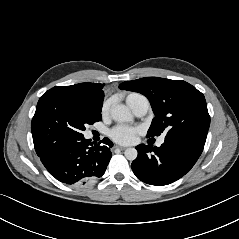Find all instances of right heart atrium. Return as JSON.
Listing matches in <instances>:
<instances>
[{
	"label": "right heart atrium",
	"instance_id": "obj_1",
	"mask_svg": "<svg viewBox=\"0 0 239 239\" xmlns=\"http://www.w3.org/2000/svg\"><path fill=\"white\" fill-rule=\"evenodd\" d=\"M109 109H110V101H105L101 109V114L103 116H106L109 113Z\"/></svg>",
	"mask_w": 239,
	"mask_h": 239
}]
</instances>
